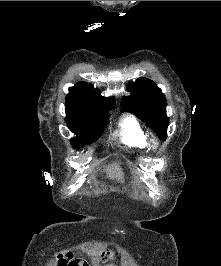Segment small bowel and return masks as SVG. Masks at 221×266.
Masks as SVG:
<instances>
[{
	"mask_svg": "<svg viewBox=\"0 0 221 266\" xmlns=\"http://www.w3.org/2000/svg\"><path fill=\"white\" fill-rule=\"evenodd\" d=\"M52 257H62L59 259L57 266H89L81 258L76 257V252H52Z\"/></svg>",
	"mask_w": 221,
	"mask_h": 266,
	"instance_id": "small-bowel-1",
	"label": "small bowel"
}]
</instances>
